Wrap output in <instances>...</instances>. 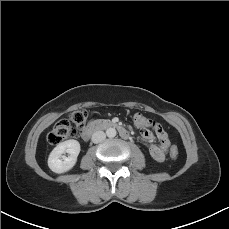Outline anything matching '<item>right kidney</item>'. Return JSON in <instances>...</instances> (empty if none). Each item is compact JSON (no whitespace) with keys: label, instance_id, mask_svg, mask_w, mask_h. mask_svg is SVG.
Here are the masks:
<instances>
[{"label":"right kidney","instance_id":"1","mask_svg":"<svg viewBox=\"0 0 229 229\" xmlns=\"http://www.w3.org/2000/svg\"><path fill=\"white\" fill-rule=\"evenodd\" d=\"M68 153V157L63 154ZM80 153V144L77 140H67L59 143L50 153L48 166L55 173H64L74 167Z\"/></svg>","mask_w":229,"mask_h":229}]
</instances>
